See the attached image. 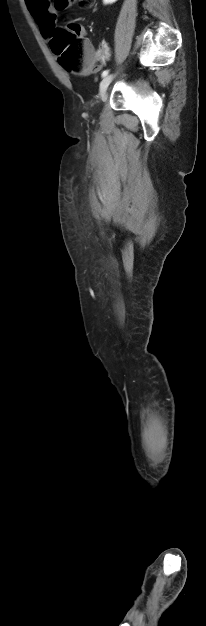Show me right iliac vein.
<instances>
[{
    "instance_id": "obj_1",
    "label": "right iliac vein",
    "mask_w": 206,
    "mask_h": 626,
    "mask_svg": "<svg viewBox=\"0 0 206 626\" xmlns=\"http://www.w3.org/2000/svg\"><path fill=\"white\" fill-rule=\"evenodd\" d=\"M113 78H114V76L111 74V75H108V76L104 77V79L101 81V83H100V90H99V96H100L101 100L105 99V94H106L107 88L110 85V83L112 82Z\"/></svg>"
}]
</instances>
